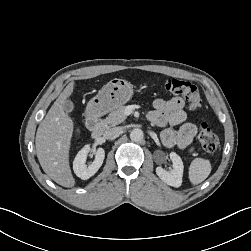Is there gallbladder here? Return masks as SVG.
Listing matches in <instances>:
<instances>
[{
	"label": "gallbladder",
	"instance_id": "gallbladder-1",
	"mask_svg": "<svg viewBox=\"0 0 251 251\" xmlns=\"http://www.w3.org/2000/svg\"><path fill=\"white\" fill-rule=\"evenodd\" d=\"M63 109L65 112L70 113L74 109V104L71 100H65L63 102Z\"/></svg>",
	"mask_w": 251,
	"mask_h": 251
}]
</instances>
